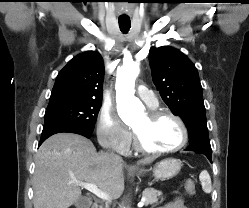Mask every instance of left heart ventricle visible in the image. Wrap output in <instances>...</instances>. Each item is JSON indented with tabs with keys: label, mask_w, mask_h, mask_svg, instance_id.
Returning <instances> with one entry per match:
<instances>
[{
	"label": "left heart ventricle",
	"mask_w": 249,
	"mask_h": 208,
	"mask_svg": "<svg viewBox=\"0 0 249 208\" xmlns=\"http://www.w3.org/2000/svg\"><path fill=\"white\" fill-rule=\"evenodd\" d=\"M133 129L139 134L143 144L151 149H170L182 139L178 123L169 117L150 121L144 115L134 124Z\"/></svg>",
	"instance_id": "1"
}]
</instances>
